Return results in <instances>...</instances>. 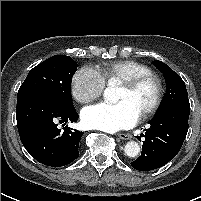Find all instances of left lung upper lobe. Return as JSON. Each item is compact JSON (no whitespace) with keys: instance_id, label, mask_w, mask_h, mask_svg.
<instances>
[{"instance_id":"1","label":"left lung upper lobe","mask_w":201,"mask_h":201,"mask_svg":"<svg viewBox=\"0 0 201 201\" xmlns=\"http://www.w3.org/2000/svg\"><path fill=\"white\" fill-rule=\"evenodd\" d=\"M153 64L163 73L166 81V94L158 111L174 104H189L187 89L182 78L161 61H153Z\"/></svg>"}]
</instances>
